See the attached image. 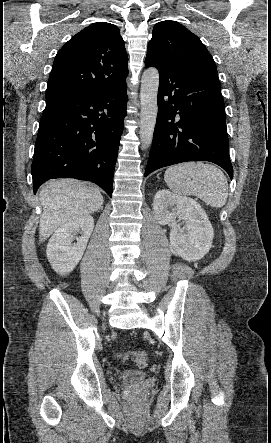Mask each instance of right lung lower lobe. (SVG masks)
<instances>
[{
  "label": "right lung lower lobe",
  "mask_w": 271,
  "mask_h": 443,
  "mask_svg": "<svg viewBox=\"0 0 271 443\" xmlns=\"http://www.w3.org/2000/svg\"><path fill=\"white\" fill-rule=\"evenodd\" d=\"M126 84L116 90L46 103L32 162L33 190L53 178L92 181L111 197Z\"/></svg>",
  "instance_id": "obj_1"
}]
</instances>
